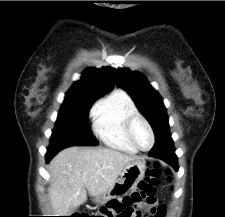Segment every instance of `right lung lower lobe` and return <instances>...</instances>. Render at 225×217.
<instances>
[{
	"mask_svg": "<svg viewBox=\"0 0 225 217\" xmlns=\"http://www.w3.org/2000/svg\"><path fill=\"white\" fill-rule=\"evenodd\" d=\"M59 151H60L59 149L48 148V151H47V154H46V161L48 162Z\"/></svg>",
	"mask_w": 225,
	"mask_h": 217,
	"instance_id": "98d812e1",
	"label": "right lung lower lobe"
}]
</instances>
